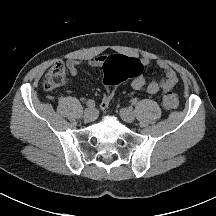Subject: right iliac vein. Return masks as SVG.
<instances>
[{
    "label": "right iliac vein",
    "mask_w": 216,
    "mask_h": 216,
    "mask_svg": "<svg viewBox=\"0 0 216 216\" xmlns=\"http://www.w3.org/2000/svg\"><path fill=\"white\" fill-rule=\"evenodd\" d=\"M97 118V111L94 108H87L84 111V119L86 121H94Z\"/></svg>",
    "instance_id": "63e3f726"
}]
</instances>
